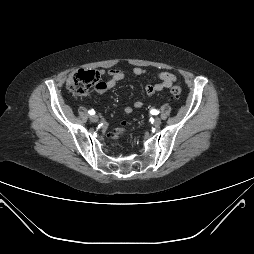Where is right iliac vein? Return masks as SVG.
Returning <instances> with one entry per match:
<instances>
[{
    "label": "right iliac vein",
    "instance_id": "obj_1",
    "mask_svg": "<svg viewBox=\"0 0 254 254\" xmlns=\"http://www.w3.org/2000/svg\"><path fill=\"white\" fill-rule=\"evenodd\" d=\"M91 122H97L98 121V116L97 115H92L90 116Z\"/></svg>",
    "mask_w": 254,
    "mask_h": 254
}]
</instances>
